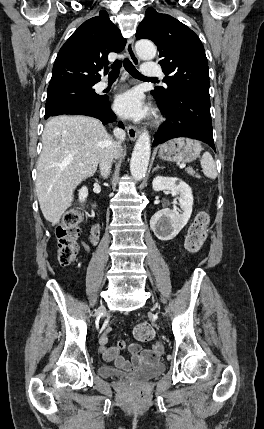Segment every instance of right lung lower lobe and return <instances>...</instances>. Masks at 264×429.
<instances>
[{
	"instance_id": "obj_1",
	"label": "right lung lower lobe",
	"mask_w": 264,
	"mask_h": 429,
	"mask_svg": "<svg viewBox=\"0 0 264 429\" xmlns=\"http://www.w3.org/2000/svg\"><path fill=\"white\" fill-rule=\"evenodd\" d=\"M62 114L91 116L102 121L104 125L113 122L116 119V115L110 109V102L108 98H103L99 103L89 101H74L62 106L48 117ZM119 127L123 128V124L119 123Z\"/></svg>"
}]
</instances>
